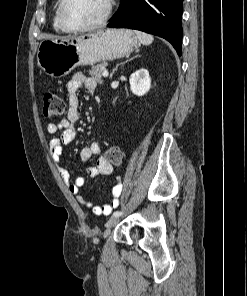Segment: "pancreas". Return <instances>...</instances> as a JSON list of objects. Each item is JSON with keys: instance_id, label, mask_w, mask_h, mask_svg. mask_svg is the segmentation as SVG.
<instances>
[{"instance_id": "1", "label": "pancreas", "mask_w": 247, "mask_h": 296, "mask_svg": "<svg viewBox=\"0 0 247 296\" xmlns=\"http://www.w3.org/2000/svg\"><path fill=\"white\" fill-rule=\"evenodd\" d=\"M106 66H107L106 62H102L93 66L91 70H89L91 77L94 78L97 82L101 83L102 73L105 70Z\"/></svg>"}]
</instances>
